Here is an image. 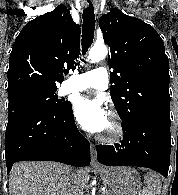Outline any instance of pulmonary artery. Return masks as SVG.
<instances>
[{
  "label": "pulmonary artery",
  "mask_w": 178,
  "mask_h": 195,
  "mask_svg": "<svg viewBox=\"0 0 178 195\" xmlns=\"http://www.w3.org/2000/svg\"><path fill=\"white\" fill-rule=\"evenodd\" d=\"M108 85V72L104 67H100L86 73L70 75L60 88V94L66 95L89 88L105 90L108 88Z\"/></svg>",
  "instance_id": "e3ab8cb5"
}]
</instances>
